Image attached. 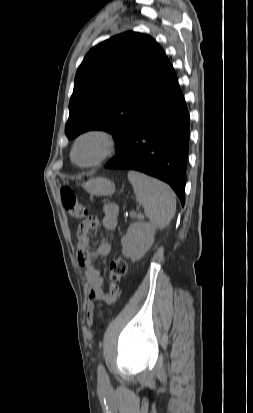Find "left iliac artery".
Here are the masks:
<instances>
[{
	"mask_svg": "<svg viewBox=\"0 0 253 413\" xmlns=\"http://www.w3.org/2000/svg\"><path fill=\"white\" fill-rule=\"evenodd\" d=\"M98 376H99L100 379H103V380L107 379L106 370H105L103 364H99V366H98Z\"/></svg>",
	"mask_w": 253,
	"mask_h": 413,
	"instance_id": "obj_1",
	"label": "left iliac artery"
}]
</instances>
